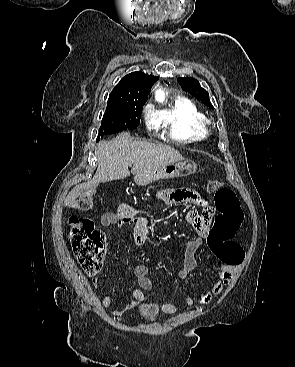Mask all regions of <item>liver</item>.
<instances>
[{"label": "liver", "mask_w": 295, "mask_h": 367, "mask_svg": "<svg viewBox=\"0 0 295 367\" xmlns=\"http://www.w3.org/2000/svg\"><path fill=\"white\" fill-rule=\"evenodd\" d=\"M95 156L98 167L93 180L74 187L66 198V205H72L83 190L100 182L113 181L130 176L128 167L131 165H133L131 173L136 177L183 160L182 155L171 146L134 140L128 132L119 134L111 141H100L96 148Z\"/></svg>", "instance_id": "1"}]
</instances>
